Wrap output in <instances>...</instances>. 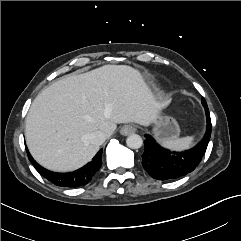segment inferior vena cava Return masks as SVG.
<instances>
[{
    "mask_svg": "<svg viewBox=\"0 0 241 241\" xmlns=\"http://www.w3.org/2000/svg\"><path fill=\"white\" fill-rule=\"evenodd\" d=\"M89 140L92 144L100 146L105 142L106 134L100 130L95 131V132L89 134Z\"/></svg>",
    "mask_w": 241,
    "mask_h": 241,
    "instance_id": "602c4592",
    "label": "inferior vena cava"
}]
</instances>
